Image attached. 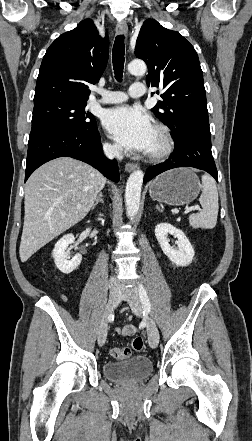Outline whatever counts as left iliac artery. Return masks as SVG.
Segmentation results:
<instances>
[{"label": "left iliac artery", "mask_w": 252, "mask_h": 441, "mask_svg": "<svg viewBox=\"0 0 252 441\" xmlns=\"http://www.w3.org/2000/svg\"><path fill=\"white\" fill-rule=\"evenodd\" d=\"M139 296L141 299V303L143 305L144 312H147V313L150 312L151 311V303L149 301L147 292L142 285L139 286Z\"/></svg>", "instance_id": "left-iliac-artery-1"}]
</instances>
